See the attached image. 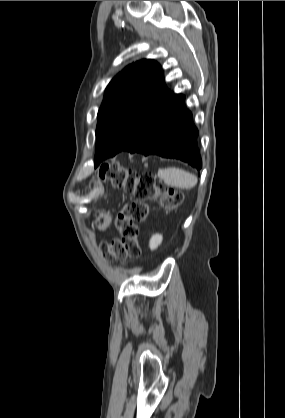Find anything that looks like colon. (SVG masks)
<instances>
[{"label":"colon","instance_id":"1","mask_svg":"<svg viewBox=\"0 0 285 418\" xmlns=\"http://www.w3.org/2000/svg\"><path fill=\"white\" fill-rule=\"evenodd\" d=\"M98 174L102 179L111 181L132 195L115 221L119 235L110 241L101 242L99 251L107 260L119 257L138 259L142 254L138 223L147 218L151 208L150 201L171 211L180 205L183 193L165 185L157 187L152 174L144 173L136 177L118 162L100 167Z\"/></svg>","mask_w":285,"mask_h":418}]
</instances>
